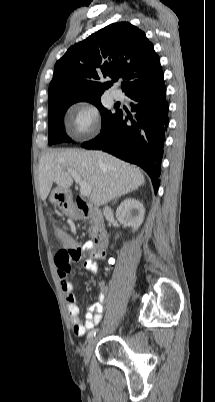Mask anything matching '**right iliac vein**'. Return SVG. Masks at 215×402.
Masks as SVG:
<instances>
[{
	"label": "right iliac vein",
	"mask_w": 215,
	"mask_h": 402,
	"mask_svg": "<svg viewBox=\"0 0 215 402\" xmlns=\"http://www.w3.org/2000/svg\"><path fill=\"white\" fill-rule=\"evenodd\" d=\"M97 341H98L97 336H94L89 340V342H88V344H87V346L85 348V354H84V362H85V364H88L90 356H91V354L93 352V349H94Z\"/></svg>",
	"instance_id": "obj_1"
}]
</instances>
